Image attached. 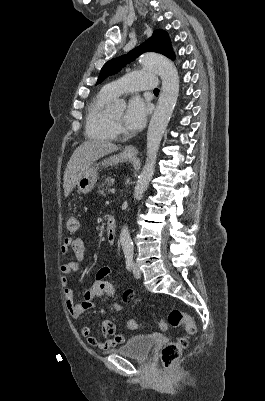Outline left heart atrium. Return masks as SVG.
<instances>
[{
    "instance_id": "1",
    "label": "left heart atrium",
    "mask_w": 265,
    "mask_h": 401,
    "mask_svg": "<svg viewBox=\"0 0 265 401\" xmlns=\"http://www.w3.org/2000/svg\"><path fill=\"white\" fill-rule=\"evenodd\" d=\"M148 113V106L140 97L131 98L125 115L127 127L132 130L141 129L147 120Z\"/></svg>"
}]
</instances>
